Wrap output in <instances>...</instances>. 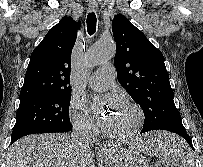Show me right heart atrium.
Wrapping results in <instances>:
<instances>
[{
	"instance_id": "obj_1",
	"label": "right heart atrium",
	"mask_w": 203,
	"mask_h": 167,
	"mask_svg": "<svg viewBox=\"0 0 203 167\" xmlns=\"http://www.w3.org/2000/svg\"><path fill=\"white\" fill-rule=\"evenodd\" d=\"M70 117L73 127L79 131H93L96 128L93 117L78 99L74 98L70 102Z\"/></svg>"
}]
</instances>
